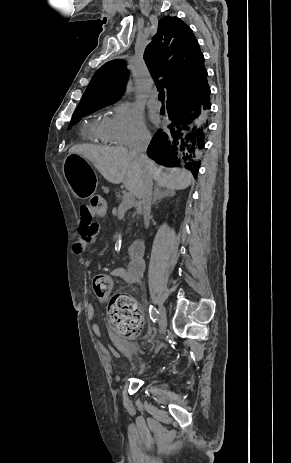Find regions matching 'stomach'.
<instances>
[{
  "label": "stomach",
  "mask_w": 291,
  "mask_h": 463,
  "mask_svg": "<svg viewBox=\"0 0 291 463\" xmlns=\"http://www.w3.org/2000/svg\"><path fill=\"white\" fill-rule=\"evenodd\" d=\"M64 177L79 199L91 196L96 188V179L89 162L78 154H69L63 165Z\"/></svg>",
  "instance_id": "0dacf381"
}]
</instances>
